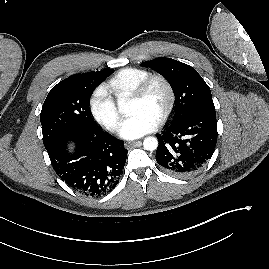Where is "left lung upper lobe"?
Listing matches in <instances>:
<instances>
[{"label":"left lung upper lobe","mask_w":269,"mask_h":269,"mask_svg":"<svg viewBox=\"0 0 269 269\" xmlns=\"http://www.w3.org/2000/svg\"><path fill=\"white\" fill-rule=\"evenodd\" d=\"M141 65L155 70L170 83L176 99L172 123L197 113H216L210 88L191 66L165 57Z\"/></svg>","instance_id":"obj_1"}]
</instances>
